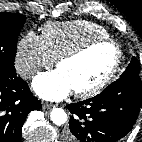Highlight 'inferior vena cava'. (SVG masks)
Returning a JSON list of instances; mask_svg holds the SVG:
<instances>
[{"instance_id": "1", "label": "inferior vena cava", "mask_w": 142, "mask_h": 142, "mask_svg": "<svg viewBox=\"0 0 142 142\" xmlns=\"http://www.w3.org/2000/svg\"><path fill=\"white\" fill-rule=\"evenodd\" d=\"M37 72V69L36 68H28V69H25L23 70L20 75L22 78H30L32 77L35 73Z\"/></svg>"}]
</instances>
